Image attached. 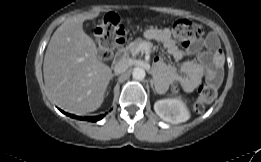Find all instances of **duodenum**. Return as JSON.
<instances>
[{
	"label": "duodenum",
	"instance_id": "410a0bca",
	"mask_svg": "<svg viewBox=\"0 0 261 162\" xmlns=\"http://www.w3.org/2000/svg\"><path fill=\"white\" fill-rule=\"evenodd\" d=\"M123 43L124 42H121V43H118V44H120L119 46H118V53H119V55L120 56H122L123 54H124V45H123ZM117 45V44H116Z\"/></svg>",
	"mask_w": 261,
	"mask_h": 162
}]
</instances>
